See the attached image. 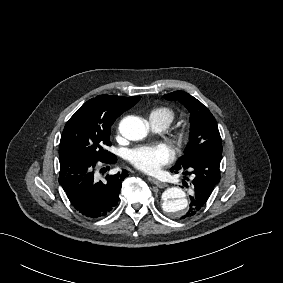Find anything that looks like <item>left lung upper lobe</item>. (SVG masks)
I'll use <instances>...</instances> for the list:
<instances>
[{"label":"left lung upper lobe","mask_w":283,"mask_h":283,"mask_svg":"<svg viewBox=\"0 0 283 283\" xmlns=\"http://www.w3.org/2000/svg\"><path fill=\"white\" fill-rule=\"evenodd\" d=\"M164 98L179 101L191 114L189 143L185 154L176 165L186 167L204 154L222 153V141L216 120L199 100L185 91H175L164 95Z\"/></svg>","instance_id":"1"}]
</instances>
